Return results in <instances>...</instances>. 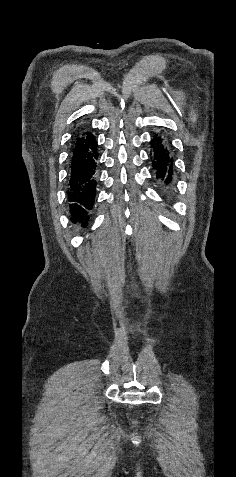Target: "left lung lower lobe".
<instances>
[{"label":"left lung lower lobe","instance_id":"0a47b994","mask_svg":"<svg viewBox=\"0 0 236 477\" xmlns=\"http://www.w3.org/2000/svg\"><path fill=\"white\" fill-rule=\"evenodd\" d=\"M151 147L153 149L151 153L152 165L156 171V176L164 185H170L172 183L174 165L163 138L155 134Z\"/></svg>","mask_w":236,"mask_h":477}]
</instances>
